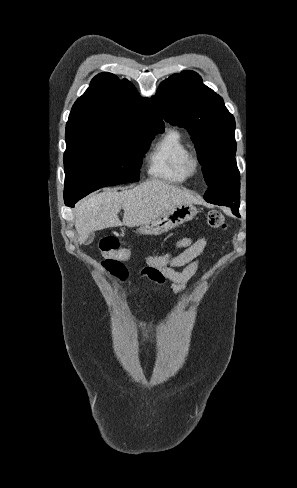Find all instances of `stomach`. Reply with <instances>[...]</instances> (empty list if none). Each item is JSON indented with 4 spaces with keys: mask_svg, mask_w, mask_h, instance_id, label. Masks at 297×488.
<instances>
[{
    "mask_svg": "<svg viewBox=\"0 0 297 488\" xmlns=\"http://www.w3.org/2000/svg\"><path fill=\"white\" fill-rule=\"evenodd\" d=\"M197 213L198 209L193 204L176 205L151 222L141 225L139 232L143 235H160L180 224L191 221Z\"/></svg>",
    "mask_w": 297,
    "mask_h": 488,
    "instance_id": "obj_1",
    "label": "stomach"
}]
</instances>
